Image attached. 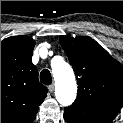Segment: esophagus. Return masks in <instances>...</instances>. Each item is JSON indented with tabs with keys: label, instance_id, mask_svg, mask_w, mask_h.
<instances>
[{
	"label": "esophagus",
	"instance_id": "esophagus-1",
	"mask_svg": "<svg viewBox=\"0 0 123 123\" xmlns=\"http://www.w3.org/2000/svg\"><path fill=\"white\" fill-rule=\"evenodd\" d=\"M48 90H49L50 92H53V91H54V84H53V83L48 86Z\"/></svg>",
	"mask_w": 123,
	"mask_h": 123
}]
</instances>
